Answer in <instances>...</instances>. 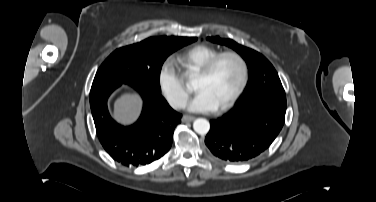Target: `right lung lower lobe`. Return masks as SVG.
<instances>
[{
	"label": "right lung lower lobe",
	"instance_id": "1",
	"mask_svg": "<svg viewBox=\"0 0 376 202\" xmlns=\"http://www.w3.org/2000/svg\"><path fill=\"white\" fill-rule=\"evenodd\" d=\"M120 85L105 83L91 88L90 106L98 138L109 155L122 165L149 164L169 151L174 128L182 115L169 106L160 91L145 84H130L143 98V111L135 124L121 126L107 110L109 95Z\"/></svg>",
	"mask_w": 376,
	"mask_h": 202
}]
</instances>
